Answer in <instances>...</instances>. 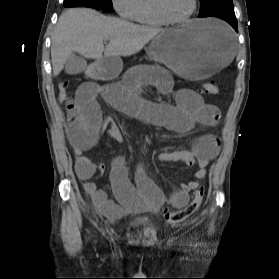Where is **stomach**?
Masks as SVG:
<instances>
[{
  "instance_id": "stomach-1",
  "label": "stomach",
  "mask_w": 279,
  "mask_h": 279,
  "mask_svg": "<svg viewBox=\"0 0 279 279\" xmlns=\"http://www.w3.org/2000/svg\"><path fill=\"white\" fill-rule=\"evenodd\" d=\"M235 48L232 31L226 24L195 19L163 30L151 43L150 55L187 82H201L218 70L227 69L238 55ZM121 69L119 57H104L96 62L94 70H87V75H93V82H112Z\"/></svg>"
}]
</instances>
